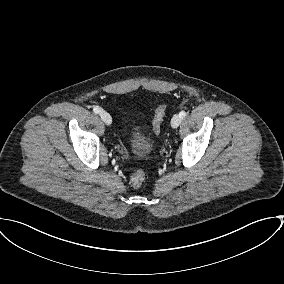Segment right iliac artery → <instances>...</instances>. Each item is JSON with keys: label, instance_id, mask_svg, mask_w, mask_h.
<instances>
[{"label": "right iliac artery", "instance_id": "82829eb1", "mask_svg": "<svg viewBox=\"0 0 284 284\" xmlns=\"http://www.w3.org/2000/svg\"><path fill=\"white\" fill-rule=\"evenodd\" d=\"M93 112L96 113V114H98V113L101 112V108L98 107V106H95V107H93Z\"/></svg>", "mask_w": 284, "mask_h": 284}]
</instances>
